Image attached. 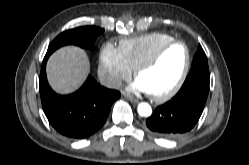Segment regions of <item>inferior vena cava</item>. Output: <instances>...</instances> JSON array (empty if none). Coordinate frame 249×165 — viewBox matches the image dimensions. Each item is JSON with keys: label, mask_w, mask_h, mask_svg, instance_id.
<instances>
[{"label": "inferior vena cava", "mask_w": 249, "mask_h": 165, "mask_svg": "<svg viewBox=\"0 0 249 165\" xmlns=\"http://www.w3.org/2000/svg\"><path fill=\"white\" fill-rule=\"evenodd\" d=\"M102 85L108 88L118 89L122 85V81L115 77H106L101 80Z\"/></svg>", "instance_id": "602c4592"}]
</instances>
